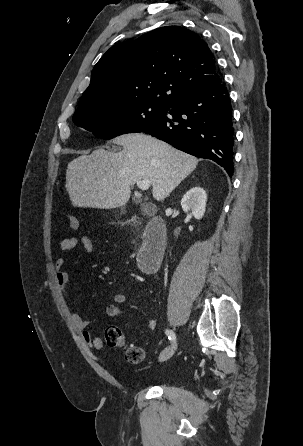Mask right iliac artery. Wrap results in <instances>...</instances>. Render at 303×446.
<instances>
[{"label":"right iliac artery","instance_id":"right-iliac-artery-1","mask_svg":"<svg viewBox=\"0 0 303 446\" xmlns=\"http://www.w3.org/2000/svg\"><path fill=\"white\" fill-rule=\"evenodd\" d=\"M165 333H166V335L168 336V339L171 341V342H175V339H176V336H175V333L172 331V330H166L165 331Z\"/></svg>","mask_w":303,"mask_h":446}]
</instances>
